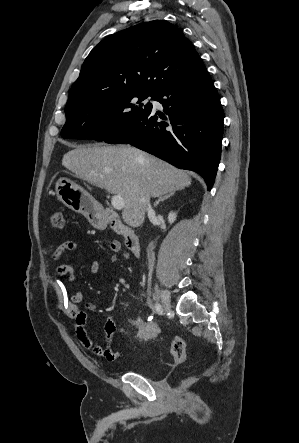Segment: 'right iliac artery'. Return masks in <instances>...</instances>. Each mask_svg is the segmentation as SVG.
Masks as SVG:
<instances>
[{
    "instance_id": "1",
    "label": "right iliac artery",
    "mask_w": 299,
    "mask_h": 443,
    "mask_svg": "<svg viewBox=\"0 0 299 443\" xmlns=\"http://www.w3.org/2000/svg\"><path fill=\"white\" fill-rule=\"evenodd\" d=\"M155 310L158 314H162L163 313V309L162 306L159 303H155Z\"/></svg>"
}]
</instances>
